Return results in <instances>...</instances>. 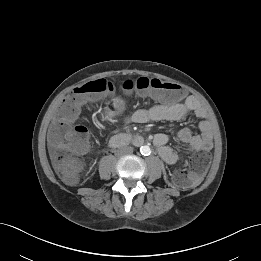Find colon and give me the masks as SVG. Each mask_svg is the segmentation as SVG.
Listing matches in <instances>:
<instances>
[{
  "label": "colon",
  "mask_w": 261,
  "mask_h": 261,
  "mask_svg": "<svg viewBox=\"0 0 261 261\" xmlns=\"http://www.w3.org/2000/svg\"><path fill=\"white\" fill-rule=\"evenodd\" d=\"M126 91L136 90L145 96L162 103L175 102L181 99V88L167 81L157 78L140 77L135 80H126L122 84ZM113 84L107 79H96L88 81L76 87L66 98L59 109L61 123L55 125L51 131L54 144L65 150L66 153L55 157L54 163L57 171L67 183H75L83 168L81 155L90 148L88 130L83 126L72 127L70 120L74 118L84 97L98 93H111ZM112 107L121 110L122 106L118 100H113ZM210 164V155L206 151L194 153L188 168L176 169L172 173V179L176 186L191 187L198 183Z\"/></svg>",
  "instance_id": "colon-1"
}]
</instances>
